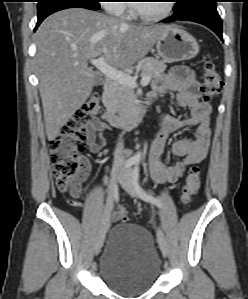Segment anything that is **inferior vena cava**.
Here are the masks:
<instances>
[{
    "label": "inferior vena cava",
    "instance_id": "1",
    "mask_svg": "<svg viewBox=\"0 0 248 299\" xmlns=\"http://www.w3.org/2000/svg\"><path fill=\"white\" fill-rule=\"evenodd\" d=\"M125 163V155H124V146L122 144V135L119 136V142L117 143L115 152H114V167L120 168Z\"/></svg>",
    "mask_w": 248,
    "mask_h": 299
}]
</instances>
